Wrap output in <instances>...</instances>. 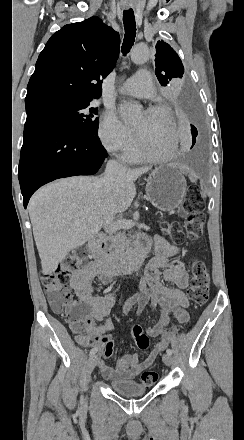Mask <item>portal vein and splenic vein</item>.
<instances>
[{"mask_svg":"<svg viewBox=\"0 0 244 440\" xmlns=\"http://www.w3.org/2000/svg\"><path fill=\"white\" fill-rule=\"evenodd\" d=\"M73 224H75V226H80L81 222H80L79 218H75Z\"/></svg>","mask_w":244,"mask_h":440,"instance_id":"18ae733b","label":"portal vein and splenic vein"}]
</instances>
